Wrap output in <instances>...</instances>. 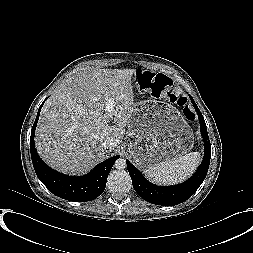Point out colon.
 <instances>
[{"label": "colon", "instance_id": "5ec220e1", "mask_svg": "<svg viewBox=\"0 0 253 253\" xmlns=\"http://www.w3.org/2000/svg\"><path fill=\"white\" fill-rule=\"evenodd\" d=\"M137 76L149 83L148 93L154 99H164L176 109L183 108L186 117L191 118V112L187 107L186 96L177 90L171 81L159 73L144 72L139 70Z\"/></svg>", "mask_w": 253, "mask_h": 253}]
</instances>
